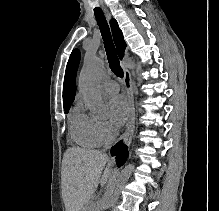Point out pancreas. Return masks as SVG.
<instances>
[{"label": "pancreas", "instance_id": "obj_1", "mask_svg": "<svg viewBox=\"0 0 219 211\" xmlns=\"http://www.w3.org/2000/svg\"><path fill=\"white\" fill-rule=\"evenodd\" d=\"M85 207L86 211H99V207H97L95 200H88Z\"/></svg>", "mask_w": 219, "mask_h": 211}]
</instances>
